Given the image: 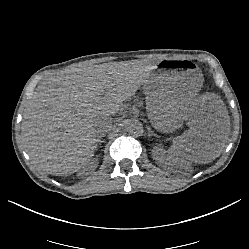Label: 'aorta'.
<instances>
[{"label": "aorta", "mask_w": 249, "mask_h": 249, "mask_svg": "<svg viewBox=\"0 0 249 249\" xmlns=\"http://www.w3.org/2000/svg\"><path fill=\"white\" fill-rule=\"evenodd\" d=\"M125 128L130 134L138 135L142 131V124L135 118H130L125 123Z\"/></svg>", "instance_id": "obj_1"}]
</instances>
